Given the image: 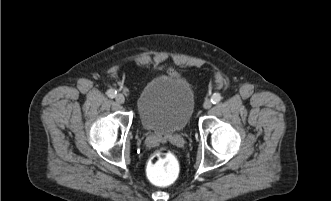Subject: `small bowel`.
I'll return each instance as SVG.
<instances>
[{
  "label": "small bowel",
  "instance_id": "1",
  "mask_svg": "<svg viewBox=\"0 0 331 201\" xmlns=\"http://www.w3.org/2000/svg\"><path fill=\"white\" fill-rule=\"evenodd\" d=\"M169 73H170L171 75L177 76V73H176L175 71H173V70H169Z\"/></svg>",
  "mask_w": 331,
  "mask_h": 201
}]
</instances>
